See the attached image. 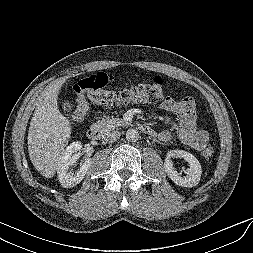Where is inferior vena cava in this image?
<instances>
[{
    "label": "inferior vena cava",
    "instance_id": "inferior-vena-cava-1",
    "mask_svg": "<svg viewBox=\"0 0 253 253\" xmlns=\"http://www.w3.org/2000/svg\"><path fill=\"white\" fill-rule=\"evenodd\" d=\"M121 136V133L119 131H112L107 132L105 135H103V140L105 142H115L117 139H119Z\"/></svg>",
    "mask_w": 253,
    "mask_h": 253
}]
</instances>
